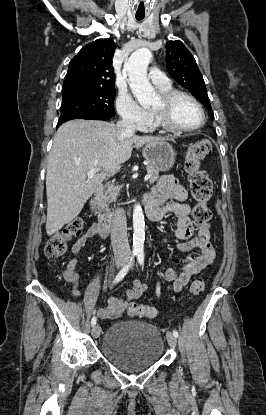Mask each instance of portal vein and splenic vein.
Listing matches in <instances>:
<instances>
[{
    "instance_id": "obj_1",
    "label": "portal vein and splenic vein",
    "mask_w": 266,
    "mask_h": 415,
    "mask_svg": "<svg viewBox=\"0 0 266 415\" xmlns=\"http://www.w3.org/2000/svg\"><path fill=\"white\" fill-rule=\"evenodd\" d=\"M99 170L98 169H96V168H93V169H91L90 171H88L87 172V177H88V179H91L97 172H98ZM151 177V175H149V174H147L145 177H144V181H147L149 178Z\"/></svg>"
}]
</instances>
